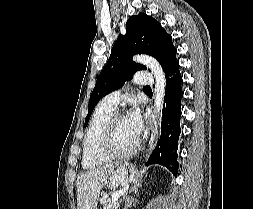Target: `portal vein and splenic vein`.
<instances>
[{
    "mask_svg": "<svg viewBox=\"0 0 253 209\" xmlns=\"http://www.w3.org/2000/svg\"><path fill=\"white\" fill-rule=\"evenodd\" d=\"M126 190H127V187L122 188V189L116 191L115 193H113V195H112V201L118 200L119 197L126 192Z\"/></svg>",
    "mask_w": 253,
    "mask_h": 209,
    "instance_id": "portal-vein-and-splenic-vein-1",
    "label": "portal vein and splenic vein"
}]
</instances>
